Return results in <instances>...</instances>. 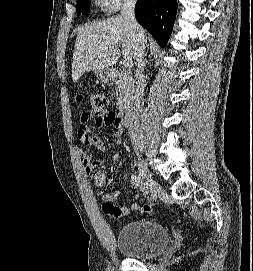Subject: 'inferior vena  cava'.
I'll use <instances>...</instances> for the list:
<instances>
[{"instance_id":"1","label":"inferior vena cava","mask_w":253,"mask_h":271,"mask_svg":"<svg viewBox=\"0 0 253 271\" xmlns=\"http://www.w3.org/2000/svg\"><path fill=\"white\" fill-rule=\"evenodd\" d=\"M137 0H124L121 8V17L129 24L137 40L136 55V82L134 85L131 104L128 109V132L134 150L139 149V128L142 114V96L145 86L144 67H145V34L142 27L135 18V4Z\"/></svg>"}]
</instances>
